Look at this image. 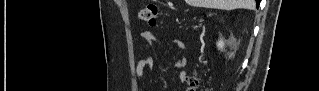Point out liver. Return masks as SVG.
I'll use <instances>...</instances> for the list:
<instances>
[{"label":"liver","mask_w":319,"mask_h":91,"mask_svg":"<svg viewBox=\"0 0 319 91\" xmlns=\"http://www.w3.org/2000/svg\"><path fill=\"white\" fill-rule=\"evenodd\" d=\"M187 4L194 7L213 8L221 10L249 9L254 10L255 0H186Z\"/></svg>","instance_id":"obj_1"}]
</instances>
